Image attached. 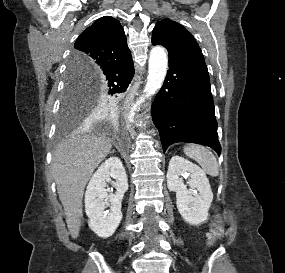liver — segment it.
<instances>
[{"mask_svg":"<svg viewBox=\"0 0 285 273\" xmlns=\"http://www.w3.org/2000/svg\"><path fill=\"white\" fill-rule=\"evenodd\" d=\"M111 148V139L104 135H73L53 154L52 173L72 238L79 235L85 186Z\"/></svg>","mask_w":285,"mask_h":273,"instance_id":"liver-1","label":"liver"}]
</instances>
